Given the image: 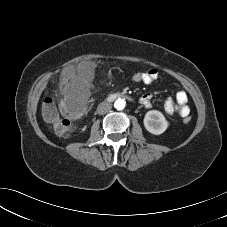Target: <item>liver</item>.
Masks as SVG:
<instances>
[{"mask_svg": "<svg viewBox=\"0 0 227 227\" xmlns=\"http://www.w3.org/2000/svg\"><path fill=\"white\" fill-rule=\"evenodd\" d=\"M94 66L91 64H83L79 66V71L80 70H85V69H93ZM66 72V71H65ZM64 72V84H66V90L68 91L70 88H72L79 80L83 78L82 74L79 73L78 75H75L74 71H70L69 74H65ZM69 80V82H68Z\"/></svg>", "mask_w": 227, "mask_h": 227, "instance_id": "liver-1", "label": "liver"}]
</instances>
